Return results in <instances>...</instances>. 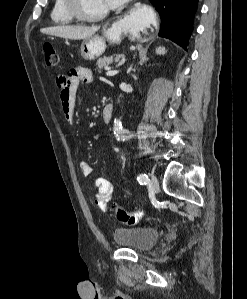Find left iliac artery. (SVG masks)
<instances>
[{
    "instance_id": "obj_1",
    "label": "left iliac artery",
    "mask_w": 247,
    "mask_h": 299,
    "mask_svg": "<svg viewBox=\"0 0 247 299\" xmlns=\"http://www.w3.org/2000/svg\"><path fill=\"white\" fill-rule=\"evenodd\" d=\"M137 180L139 181V183H140L141 185H146V184L149 183V178H148V176H147L146 174H143V173H141V174L138 175Z\"/></svg>"
}]
</instances>
